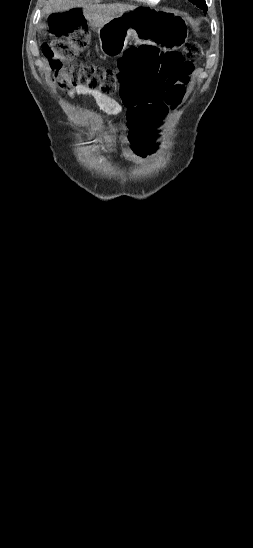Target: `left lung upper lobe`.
Here are the masks:
<instances>
[{"label": "left lung upper lobe", "instance_id": "obj_1", "mask_svg": "<svg viewBox=\"0 0 253 548\" xmlns=\"http://www.w3.org/2000/svg\"><path fill=\"white\" fill-rule=\"evenodd\" d=\"M195 5H206L205 0H189Z\"/></svg>", "mask_w": 253, "mask_h": 548}]
</instances>
